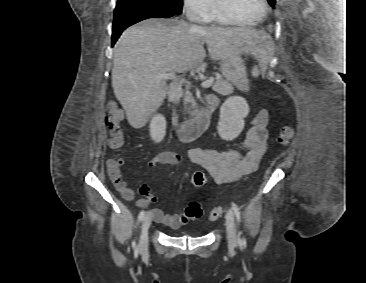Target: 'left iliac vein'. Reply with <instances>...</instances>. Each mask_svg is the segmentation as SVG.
<instances>
[{"label": "left iliac vein", "mask_w": 366, "mask_h": 283, "mask_svg": "<svg viewBox=\"0 0 366 283\" xmlns=\"http://www.w3.org/2000/svg\"><path fill=\"white\" fill-rule=\"evenodd\" d=\"M226 228H227V238L230 247L234 248L238 244V237L236 233L235 220L232 210H228L226 215Z\"/></svg>", "instance_id": "1"}]
</instances>
